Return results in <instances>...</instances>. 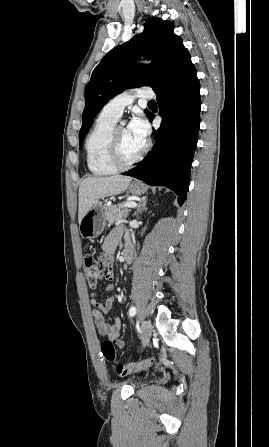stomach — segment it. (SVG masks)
Instances as JSON below:
<instances>
[{
  "instance_id": "stomach-1",
  "label": "stomach",
  "mask_w": 269,
  "mask_h": 447,
  "mask_svg": "<svg viewBox=\"0 0 269 447\" xmlns=\"http://www.w3.org/2000/svg\"><path fill=\"white\" fill-rule=\"evenodd\" d=\"M129 192L133 196H141L143 190H146L144 184H130L128 188ZM106 224V216L104 208L101 202H95L92 208L88 210L87 214L83 216L80 224L79 231L82 237H88V239H93L102 233Z\"/></svg>"
}]
</instances>
